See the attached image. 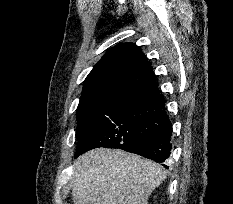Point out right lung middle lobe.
Segmentation results:
<instances>
[{
    "label": "right lung middle lobe",
    "mask_w": 233,
    "mask_h": 204,
    "mask_svg": "<svg viewBox=\"0 0 233 204\" xmlns=\"http://www.w3.org/2000/svg\"><path fill=\"white\" fill-rule=\"evenodd\" d=\"M77 120V147L117 148L167 126V120L160 115L152 100L111 104Z\"/></svg>",
    "instance_id": "right-lung-middle-lobe-1"
}]
</instances>
